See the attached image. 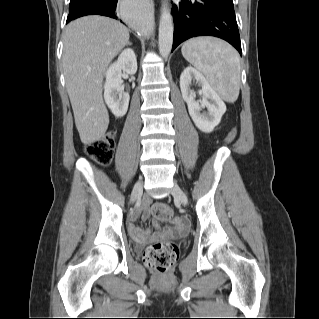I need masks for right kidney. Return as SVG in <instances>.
<instances>
[{
	"instance_id": "1",
	"label": "right kidney",
	"mask_w": 319,
	"mask_h": 319,
	"mask_svg": "<svg viewBox=\"0 0 319 319\" xmlns=\"http://www.w3.org/2000/svg\"><path fill=\"white\" fill-rule=\"evenodd\" d=\"M122 71L133 75L137 71V59L132 49H125L121 52L116 62L111 64L106 72L104 85V99L116 117H123L129 105L130 96L121 87Z\"/></svg>"
}]
</instances>
